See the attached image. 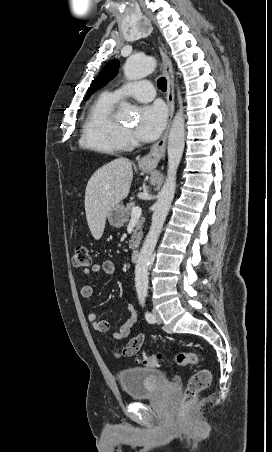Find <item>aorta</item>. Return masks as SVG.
Masks as SVG:
<instances>
[{
	"mask_svg": "<svg viewBox=\"0 0 272 452\" xmlns=\"http://www.w3.org/2000/svg\"><path fill=\"white\" fill-rule=\"evenodd\" d=\"M156 61L149 57L131 55L125 62L124 75L128 80H137L154 71ZM134 108L126 102L121 104L118 116L130 118ZM185 145V120L178 112L172 122L168 136V172L165 183L154 206L152 223L139 253L135 266V287L138 296H144L148 291V267L155 246L168 215L176 189V173L182 158Z\"/></svg>",
	"mask_w": 272,
	"mask_h": 452,
	"instance_id": "aorta-1",
	"label": "aorta"
}]
</instances>
